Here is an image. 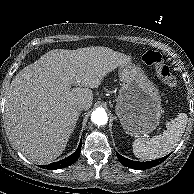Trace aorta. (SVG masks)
I'll return each instance as SVG.
<instances>
[{
    "label": "aorta",
    "mask_w": 194,
    "mask_h": 194,
    "mask_svg": "<svg viewBox=\"0 0 194 194\" xmlns=\"http://www.w3.org/2000/svg\"><path fill=\"white\" fill-rule=\"evenodd\" d=\"M91 120L94 124L102 126L108 122V116L104 109L98 108L93 111L91 115Z\"/></svg>",
    "instance_id": "1"
}]
</instances>
